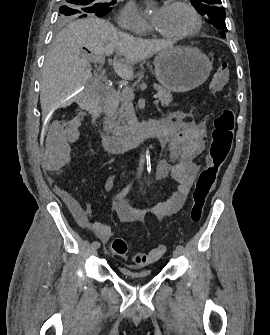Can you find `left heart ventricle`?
Masks as SVG:
<instances>
[{
  "mask_svg": "<svg viewBox=\"0 0 270 335\" xmlns=\"http://www.w3.org/2000/svg\"><path fill=\"white\" fill-rule=\"evenodd\" d=\"M193 25L194 18L185 7H171L167 12L161 31L168 35H175L189 31Z\"/></svg>",
  "mask_w": 270,
  "mask_h": 335,
  "instance_id": "obj_1",
  "label": "left heart ventricle"
}]
</instances>
